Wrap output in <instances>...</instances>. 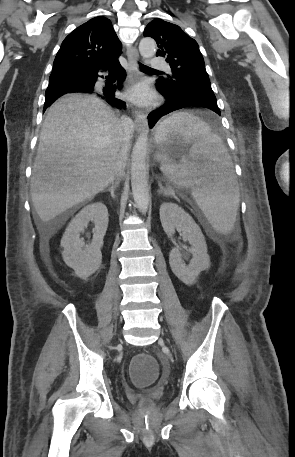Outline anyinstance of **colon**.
Instances as JSON below:
<instances>
[{
	"mask_svg": "<svg viewBox=\"0 0 295 457\" xmlns=\"http://www.w3.org/2000/svg\"><path fill=\"white\" fill-rule=\"evenodd\" d=\"M158 365L151 351H136L131 358L128 376L132 377L135 390H146L147 383H156Z\"/></svg>",
	"mask_w": 295,
	"mask_h": 457,
	"instance_id": "obj_1",
	"label": "colon"
}]
</instances>
